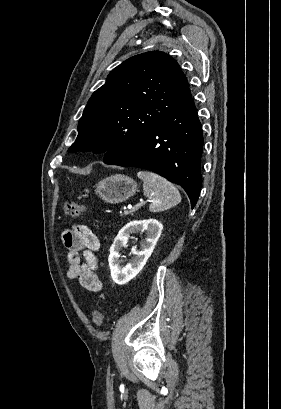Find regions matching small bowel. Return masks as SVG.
I'll list each match as a JSON object with an SVG mask.
<instances>
[{
  "instance_id": "1",
  "label": "small bowel",
  "mask_w": 281,
  "mask_h": 409,
  "mask_svg": "<svg viewBox=\"0 0 281 409\" xmlns=\"http://www.w3.org/2000/svg\"><path fill=\"white\" fill-rule=\"evenodd\" d=\"M62 242L68 250L67 277L77 280L89 291H100L101 281L97 274L96 257L100 248L98 236L89 227L77 224L63 232Z\"/></svg>"
}]
</instances>
